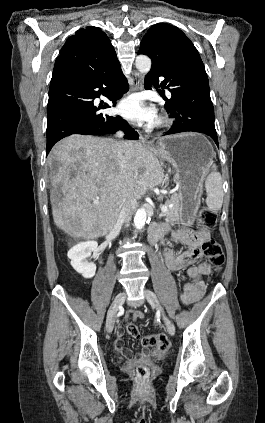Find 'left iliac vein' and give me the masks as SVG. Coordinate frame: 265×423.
Listing matches in <instances>:
<instances>
[{"instance_id": "1", "label": "left iliac vein", "mask_w": 265, "mask_h": 423, "mask_svg": "<svg viewBox=\"0 0 265 423\" xmlns=\"http://www.w3.org/2000/svg\"><path fill=\"white\" fill-rule=\"evenodd\" d=\"M144 294H145V297H146L148 303L153 308H156L161 313V315L163 317V320H164V322L166 324V328H167L168 333L170 335H174L175 334V327L172 324V322L165 315V313H164V311H163V309H162V307L160 305V302H159L156 294L154 292H152L151 290H149V289H145Z\"/></svg>"}]
</instances>
